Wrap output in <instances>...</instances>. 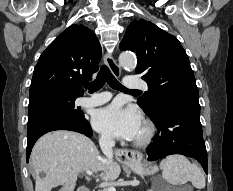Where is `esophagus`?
Returning <instances> with one entry per match:
<instances>
[{"label":"esophagus","instance_id":"esophagus-1","mask_svg":"<svg viewBox=\"0 0 233 191\" xmlns=\"http://www.w3.org/2000/svg\"><path fill=\"white\" fill-rule=\"evenodd\" d=\"M105 62L112 74L117 78L120 77L121 69L111 54H105ZM116 156L120 159V161H122V163H137L142 159V153L127 149L116 150Z\"/></svg>","mask_w":233,"mask_h":191}]
</instances>
